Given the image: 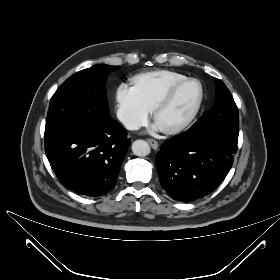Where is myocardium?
Instances as JSON below:
<instances>
[{
  "label": "myocardium",
  "instance_id": "obj_1",
  "mask_svg": "<svg viewBox=\"0 0 280 280\" xmlns=\"http://www.w3.org/2000/svg\"><path fill=\"white\" fill-rule=\"evenodd\" d=\"M188 83H196L199 87V96H198V99L196 101V104L193 107L190 114L188 115V117L184 121H182L181 123H179L178 125H176L172 128L161 129V131L164 134L174 135V134L180 133L181 131L186 129L194 121V119L196 118L197 114L200 111V108H201V105H202V102H203V99H204L203 85L196 78H186L184 80H181L179 82H176V83L172 84L171 86H169L167 88V90L163 93V95L159 98V100L155 103V105L152 108V119L155 121L157 113L170 102V100L174 96L175 92L180 87H182L183 85L188 84Z\"/></svg>",
  "mask_w": 280,
  "mask_h": 280
}]
</instances>
